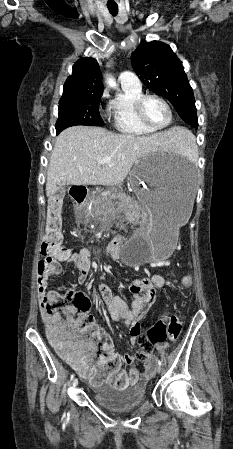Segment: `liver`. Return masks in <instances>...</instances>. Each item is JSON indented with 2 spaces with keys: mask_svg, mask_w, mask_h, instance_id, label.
I'll list each match as a JSON object with an SVG mask.
<instances>
[{
  "mask_svg": "<svg viewBox=\"0 0 233 449\" xmlns=\"http://www.w3.org/2000/svg\"><path fill=\"white\" fill-rule=\"evenodd\" d=\"M182 137V128L133 136L100 127H70L56 138L47 171L46 195L56 193L62 183L120 185L142 157L169 152ZM106 157H110V162L101 164L99 161Z\"/></svg>",
  "mask_w": 233,
  "mask_h": 449,
  "instance_id": "obj_1",
  "label": "liver"
}]
</instances>
